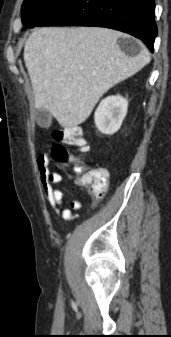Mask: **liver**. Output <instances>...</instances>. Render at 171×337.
<instances>
[{
  "label": "liver",
  "mask_w": 171,
  "mask_h": 337,
  "mask_svg": "<svg viewBox=\"0 0 171 337\" xmlns=\"http://www.w3.org/2000/svg\"><path fill=\"white\" fill-rule=\"evenodd\" d=\"M125 33L95 27H43L24 47V61L38 108L65 128L83 123L111 87L131 77L150 60L144 44L128 56L117 44Z\"/></svg>",
  "instance_id": "liver-1"
}]
</instances>
